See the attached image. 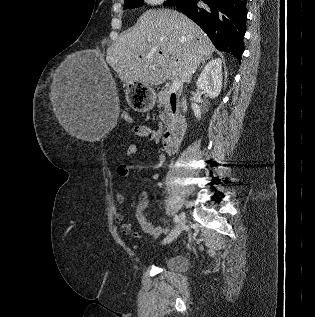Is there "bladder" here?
I'll use <instances>...</instances> for the list:
<instances>
[{"label":"bladder","mask_w":315,"mask_h":317,"mask_svg":"<svg viewBox=\"0 0 315 317\" xmlns=\"http://www.w3.org/2000/svg\"><path fill=\"white\" fill-rule=\"evenodd\" d=\"M164 266L173 271H184L188 267V261L183 255H172L164 261Z\"/></svg>","instance_id":"obj_1"}]
</instances>
